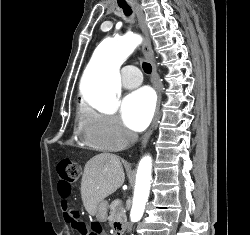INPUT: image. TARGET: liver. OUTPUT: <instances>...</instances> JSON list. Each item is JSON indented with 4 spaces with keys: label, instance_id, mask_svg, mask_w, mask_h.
<instances>
[{
    "label": "liver",
    "instance_id": "liver-1",
    "mask_svg": "<svg viewBox=\"0 0 250 235\" xmlns=\"http://www.w3.org/2000/svg\"><path fill=\"white\" fill-rule=\"evenodd\" d=\"M125 180L120 159L102 153L90 159L84 168L81 197L86 211L94 216L98 204L119 189Z\"/></svg>",
    "mask_w": 250,
    "mask_h": 235
}]
</instances>
